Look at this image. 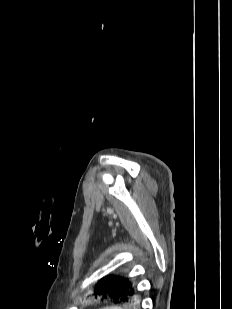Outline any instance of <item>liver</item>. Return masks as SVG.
Wrapping results in <instances>:
<instances>
[{
	"instance_id": "liver-1",
	"label": "liver",
	"mask_w": 232,
	"mask_h": 309,
	"mask_svg": "<svg viewBox=\"0 0 232 309\" xmlns=\"http://www.w3.org/2000/svg\"><path fill=\"white\" fill-rule=\"evenodd\" d=\"M101 309H123L119 306H110V307H104V308H101Z\"/></svg>"
}]
</instances>
